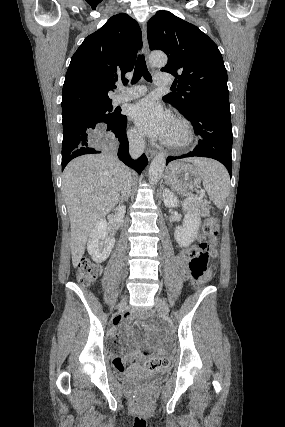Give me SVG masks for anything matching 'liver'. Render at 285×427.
<instances>
[{"label": "liver", "mask_w": 285, "mask_h": 427, "mask_svg": "<svg viewBox=\"0 0 285 427\" xmlns=\"http://www.w3.org/2000/svg\"><path fill=\"white\" fill-rule=\"evenodd\" d=\"M207 159L186 161L200 164ZM129 169L115 154L103 152L72 160L62 175V193L67 207L71 238L72 263L76 268L95 224L119 201L124 176Z\"/></svg>", "instance_id": "liver-1"}]
</instances>
